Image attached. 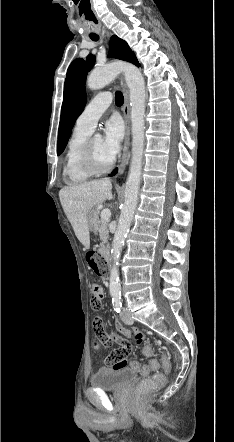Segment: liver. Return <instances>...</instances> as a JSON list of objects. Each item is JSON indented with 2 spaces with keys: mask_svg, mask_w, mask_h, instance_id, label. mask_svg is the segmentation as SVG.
I'll list each match as a JSON object with an SVG mask.
<instances>
[{
  "mask_svg": "<svg viewBox=\"0 0 234 442\" xmlns=\"http://www.w3.org/2000/svg\"><path fill=\"white\" fill-rule=\"evenodd\" d=\"M111 190V181L101 179L65 187L59 192L63 210L85 248L90 246L88 214L95 206L113 198Z\"/></svg>",
  "mask_w": 234,
  "mask_h": 442,
  "instance_id": "1",
  "label": "liver"
}]
</instances>
